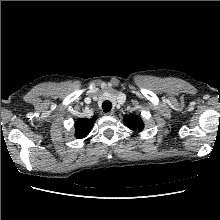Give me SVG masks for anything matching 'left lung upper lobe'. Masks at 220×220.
Listing matches in <instances>:
<instances>
[{"label": "left lung upper lobe", "mask_w": 220, "mask_h": 220, "mask_svg": "<svg viewBox=\"0 0 220 220\" xmlns=\"http://www.w3.org/2000/svg\"><path fill=\"white\" fill-rule=\"evenodd\" d=\"M124 124L134 131H141L144 128L143 121L138 115L126 116L124 118Z\"/></svg>", "instance_id": "5c2ea615"}]
</instances>
